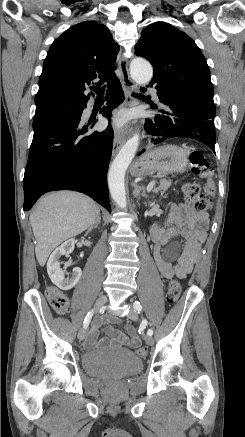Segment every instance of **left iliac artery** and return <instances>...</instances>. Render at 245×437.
<instances>
[{
	"label": "left iliac artery",
	"mask_w": 245,
	"mask_h": 437,
	"mask_svg": "<svg viewBox=\"0 0 245 437\" xmlns=\"http://www.w3.org/2000/svg\"><path fill=\"white\" fill-rule=\"evenodd\" d=\"M133 306H134V309L136 310V312H138V313L141 312L142 306H141L139 301H135ZM143 323L146 324V320H144ZM147 334L151 336L153 334V330L152 329H148Z\"/></svg>",
	"instance_id": "left-iliac-artery-1"
}]
</instances>
